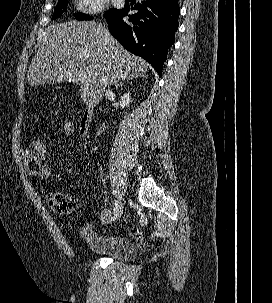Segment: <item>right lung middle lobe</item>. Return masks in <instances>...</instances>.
Wrapping results in <instances>:
<instances>
[{
    "label": "right lung middle lobe",
    "instance_id": "1",
    "mask_svg": "<svg viewBox=\"0 0 272 303\" xmlns=\"http://www.w3.org/2000/svg\"><path fill=\"white\" fill-rule=\"evenodd\" d=\"M67 2H68V0H58L56 9H55L54 14L52 16V20L58 18L59 16L62 15V13L64 11H66V9H67ZM118 11L119 10H117V9H113V8L110 9L108 12L105 13V18L113 16ZM74 16H75V18L77 20H91V19H93L91 16L85 15L83 13H76V14H74Z\"/></svg>",
    "mask_w": 272,
    "mask_h": 303
}]
</instances>
